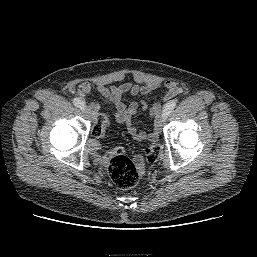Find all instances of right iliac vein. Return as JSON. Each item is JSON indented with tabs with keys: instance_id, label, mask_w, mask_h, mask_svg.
Wrapping results in <instances>:
<instances>
[{
	"instance_id": "obj_1",
	"label": "right iliac vein",
	"mask_w": 257,
	"mask_h": 257,
	"mask_svg": "<svg viewBox=\"0 0 257 257\" xmlns=\"http://www.w3.org/2000/svg\"><path fill=\"white\" fill-rule=\"evenodd\" d=\"M82 110H83V114H84L85 118H87V119L92 118V116H93L92 111L88 106H84V108Z\"/></svg>"
}]
</instances>
